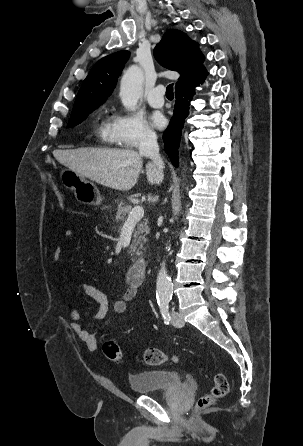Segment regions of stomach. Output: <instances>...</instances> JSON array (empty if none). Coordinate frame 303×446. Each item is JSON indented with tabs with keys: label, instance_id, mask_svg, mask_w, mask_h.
Returning a JSON list of instances; mask_svg holds the SVG:
<instances>
[{
	"label": "stomach",
	"instance_id": "1",
	"mask_svg": "<svg viewBox=\"0 0 303 446\" xmlns=\"http://www.w3.org/2000/svg\"><path fill=\"white\" fill-rule=\"evenodd\" d=\"M60 179L65 188L74 192L78 202L87 205H99L101 203L102 197L98 188L75 170L63 169L60 173Z\"/></svg>",
	"mask_w": 303,
	"mask_h": 446
}]
</instances>
